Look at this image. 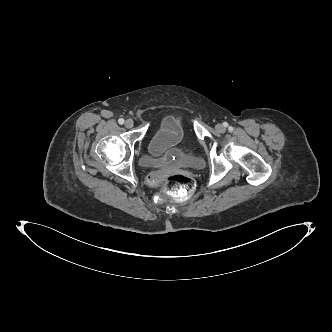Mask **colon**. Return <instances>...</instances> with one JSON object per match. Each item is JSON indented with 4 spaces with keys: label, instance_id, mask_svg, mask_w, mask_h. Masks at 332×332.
<instances>
[{
    "label": "colon",
    "instance_id": "1",
    "mask_svg": "<svg viewBox=\"0 0 332 332\" xmlns=\"http://www.w3.org/2000/svg\"><path fill=\"white\" fill-rule=\"evenodd\" d=\"M187 150L191 159H196L199 156L198 143L195 140H190L187 143ZM161 187L165 194L176 199L185 200L195 193L196 183L188 174L174 173L163 178Z\"/></svg>",
    "mask_w": 332,
    "mask_h": 332
}]
</instances>
